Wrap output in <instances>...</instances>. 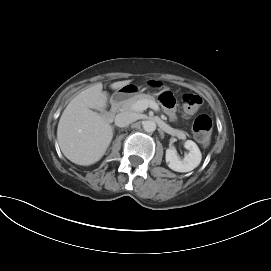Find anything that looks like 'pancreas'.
Wrapping results in <instances>:
<instances>
[{
	"label": "pancreas",
	"instance_id": "1",
	"mask_svg": "<svg viewBox=\"0 0 271 271\" xmlns=\"http://www.w3.org/2000/svg\"><path fill=\"white\" fill-rule=\"evenodd\" d=\"M140 100H146L148 102H154L156 103L155 101V98L150 96V95H146V94H137L125 101L122 102L121 106H120V109L122 111H132L133 110V105L137 102V101H140ZM157 104V103H156ZM158 105V104H157Z\"/></svg>",
	"mask_w": 271,
	"mask_h": 271
}]
</instances>
